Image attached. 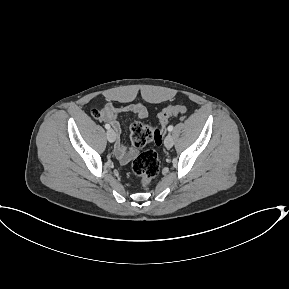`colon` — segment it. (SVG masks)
<instances>
[{
	"label": "colon",
	"instance_id": "obj_1",
	"mask_svg": "<svg viewBox=\"0 0 289 289\" xmlns=\"http://www.w3.org/2000/svg\"><path fill=\"white\" fill-rule=\"evenodd\" d=\"M185 111L186 107L184 105H173L164 108L158 115L160 125L164 127L171 117ZM93 115L98 117L99 113L93 112ZM130 135L136 147H144L148 144L159 146L163 139V129L147 123L134 122L130 127ZM159 169L160 161L154 150L142 152L132 163V170L143 186H148L151 183Z\"/></svg>",
	"mask_w": 289,
	"mask_h": 289
}]
</instances>
